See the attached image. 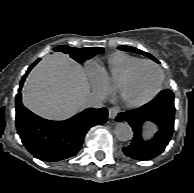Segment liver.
<instances>
[{"instance_id":"6515ba94","label":"liver","mask_w":194,"mask_h":193,"mask_svg":"<svg viewBox=\"0 0 194 193\" xmlns=\"http://www.w3.org/2000/svg\"><path fill=\"white\" fill-rule=\"evenodd\" d=\"M90 93L81 65L57 53L44 58L28 75L22 90L25 107L51 120H65L83 110Z\"/></svg>"}]
</instances>
